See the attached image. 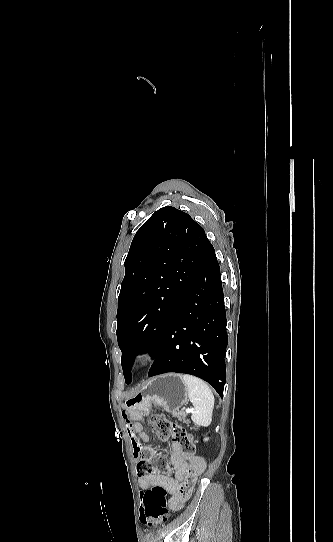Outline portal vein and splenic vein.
Wrapping results in <instances>:
<instances>
[{"label":"portal vein and splenic vein","instance_id":"portal-vein-and-splenic-vein-1","mask_svg":"<svg viewBox=\"0 0 333 542\" xmlns=\"http://www.w3.org/2000/svg\"><path fill=\"white\" fill-rule=\"evenodd\" d=\"M185 412H192V410H189V408H188V410H185Z\"/></svg>","mask_w":333,"mask_h":542}]
</instances>
